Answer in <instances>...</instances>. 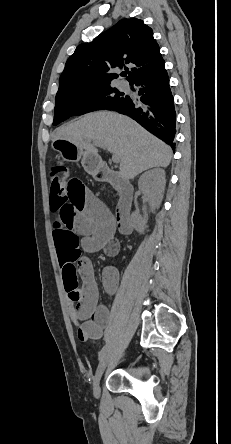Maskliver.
<instances>
[{"instance_id": "6515ba94", "label": "liver", "mask_w": 231, "mask_h": 444, "mask_svg": "<svg viewBox=\"0 0 231 444\" xmlns=\"http://www.w3.org/2000/svg\"><path fill=\"white\" fill-rule=\"evenodd\" d=\"M65 139L85 153L98 156L91 143L98 141L120 158V174L132 179L154 167H166L172 149L127 116L113 112H96L57 128L53 140Z\"/></svg>"}]
</instances>
